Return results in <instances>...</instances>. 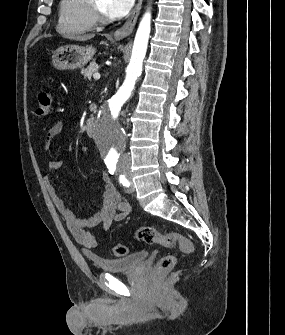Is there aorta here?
I'll return each mask as SVG.
<instances>
[{"label": "aorta", "instance_id": "762f6f07", "mask_svg": "<svg viewBox=\"0 0 285 335\" xmlns=\"http://www.w3.org/2000/svg\"><path fill=\"white\" fill-rule=\"evenodd\" d=\"M150 20V14H144L136 32L131 60L125 70L126 78L119 90L111 91V100H104V105H100L97 125L89 128V133L98 137L96 147H104L102 154L107 157V160H116L119 152H122L125 147L128 130L124 125H118L116 112H121L123 104L134 96L133 90L136 80L141 76L143 60L147 52Z\"/></svg>", "mask_w": 285, "mask_h": 335}]
</instances>
